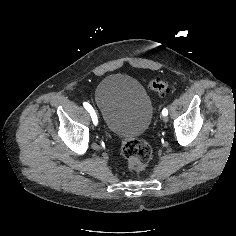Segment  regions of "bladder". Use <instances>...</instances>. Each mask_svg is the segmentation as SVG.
<instances>
[{
    "label": "bladder",
    "mask_w": 236,
    "mask_h": 236,
    "mask_svg": "<svg viewBox=\"0 0 236 236\" xmlns=\"http://www.w3.org/2000/svg\"><path fill=\"white\" fill-rule=\"evenodd\" d=\"M94 101L107 130L123 140L135 138L150 124L153 114L151 99L128 75L105 77L95 90Z\"/></svg>",
    "instance_id": "31cf9c89"
}]
</instances>
